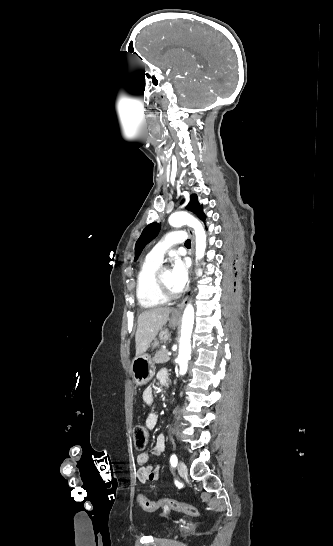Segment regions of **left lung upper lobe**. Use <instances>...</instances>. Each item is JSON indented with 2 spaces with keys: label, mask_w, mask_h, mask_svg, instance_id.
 I'll use <instances>...</instances> for the list:
<instances>
[{
  "label": "left lung upper lobe",
  "mask_w": 333,
  "mask_h": 546,
  "mask_svg": "<svg viewBox=\"0 0 333 546\" xmlns=\"http://www.w3.org/2000/svg\"><path fill=\"white\" fill-rule=\"evenodd\" d=\"M186 208L195 213L201 220H205L206 216L203 213L202 206L198 203L197 195L193 194L190 196V201ZM161 225L157 222H153L149 224L142 232L141 236L136 242L135 245V261L137 260V257L140 255L141 251L145 247L147 243H149L153 238L156 237L160 230Z\"/></svg>",
  "instance_id": "obj_1"
}]
</instances>
